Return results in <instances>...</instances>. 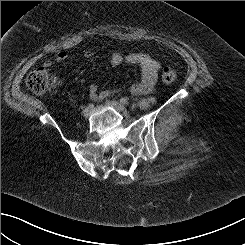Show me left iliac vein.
<instances>
[{
  "instance_id": "1",
  "label": "left iliac vein",
  "mask_w": 245,
  "mask_h": 245,
  "mask_svg": "<svg viewBox=\"0 0 245 245\" xmlns=\"http://www.w3.org/2000/svg\"><path fill=\"white\" fill-rule=\"evenodd\" d=\"M106 104L108 106L113 107L114 109H116L119 112H126L127 111L126 107L123 104L119 103L118 101L106 100Z\"/></svg>"
}]
</instances>
